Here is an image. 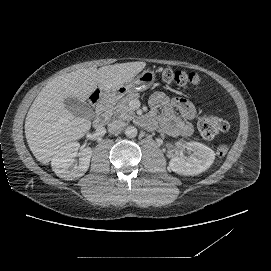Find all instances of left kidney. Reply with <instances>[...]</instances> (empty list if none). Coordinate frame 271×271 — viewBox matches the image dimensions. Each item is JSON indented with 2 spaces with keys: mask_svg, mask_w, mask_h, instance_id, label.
Returning <instances> with one entry per match:
<instances>
[{
  "mask_svg": "<svg viewBox=\"0 0 271 271\" xmlns=\"http://www.w3.org/2000/svg\"><path fill=\"white\" fill-rule=\"evenodd\" d=\"M177 150L169 162L172 171L180 175H198L207 170L215 159V153L212 149L199 142L176 143ZM187 149L190 156L186 157L183 150Z\"/></svg>",
  "mask_w": 271,
  "mask_h": 271,
  "instance_id": "left-kidney-1",
  "label": "left kidney"
}]
</instances>
